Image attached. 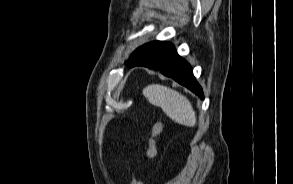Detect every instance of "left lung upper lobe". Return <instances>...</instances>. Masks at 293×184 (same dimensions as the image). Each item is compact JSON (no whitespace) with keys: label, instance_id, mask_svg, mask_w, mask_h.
<instances>
[{"label":"left lung upper lobe","instance_id":"left-lung-upper-lobe-1","mask_svg":"<svg viewBox=\"0 0 293 184\" xmlns=\"http://www.w3.org/2000/svg\"><path fill=\"white\" fill-rule=\"evenodd\" d=\"M147 45H143L139 48H137L132 55L130 56V58L127 60V62L125 63L128 67H131L133 65H135L136 63H138L140 60H144L145 58L148 57V53H147Z\"/></svg>","mask_w":293,"mask_h":184}]
</instances>
